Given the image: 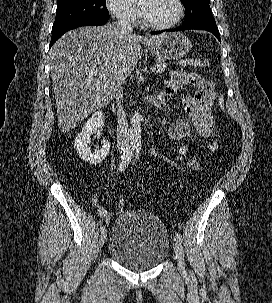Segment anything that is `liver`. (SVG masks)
Masks as SVG:
<instances>
[{
    "label": "liver",
    "mask_w": 272,
    "mask_h": 303,
    "mask_svg": "<svg viewBox=\"0 0 272 303\" xmlns=\"http://www.w3.org/2000/svg\"><path fill=\"white\" fill-rule=\"evenodd\" d=\"M166 34H122L116 23L65 33L50 50L58 123L65 133L115 96L117 77L129 76L141 58L140 44L154 45Z\"/></svg>",
    "instance_id": "1"
}]
</instances>
